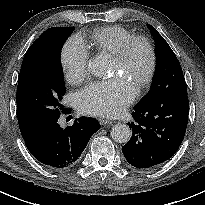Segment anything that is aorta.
<instances>
[{"instance_id":"aorta-1","label":"aorta","mask_w":205,"mask_h":205,"mask_svg":"<svg viewBox=\"0 0 205 205\" xmlns=\"http://www.w3.org/2000/svg\"><path fill=\"white\" fill-rule=\"evenodd\" d=\"M89 72L96 77H104L108 74V64L104 57L97 56L90 60L88 65ZM132 132L126 124H116L112 127L111 137L117 143H127L131 138Z\"/></svg>"}]
</instances>
